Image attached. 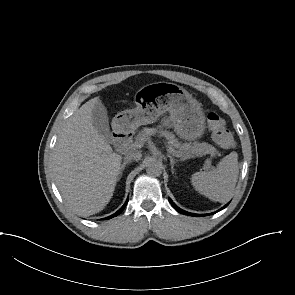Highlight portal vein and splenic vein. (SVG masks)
I'll return each mask as SVG.
<instances>
[{
  "label": "portal vein and splenic vein",
  "mask_w": 295,
  "mask_h": 295,
  "mask_svg": "<svg viewBox=\"0 0 295 295\" xmlns=\"http://www.w3.org/2000/svg\"><path fill=\"white\" fill-rule=\"evenodd\" d=\"M143 144H144V140L141 139V140L133 143L132 144V147L141 148L143 146ZM166 148H167V151L170 154H172L173 156L179 157L178 152L174 148H172L171 146H168V145H166ZM210 167H211V159L210 158H207L205 160V166H204V168H210Z\"/></svg>",
  "instance_id": "18ae733b"
}]
</instances>
